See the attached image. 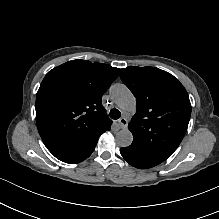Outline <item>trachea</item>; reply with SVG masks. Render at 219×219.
I'll use <instances>...</instances> for the list:
<instances>
[{"label":"trachea","instance_id":"3493384b","mask_svg":"<svg viewBox=\"0 0 219 219\" xmlns=\"http://www.w3.org/2000/svg\"><path fill=\"white\" fill-rule=\"evenodd\" d=\"M109 115L112 119H118L121 116V112L118 109L114 108L110 110Z\"/></svg>","mask_w":219,"mask_h":219}]
</instances>
